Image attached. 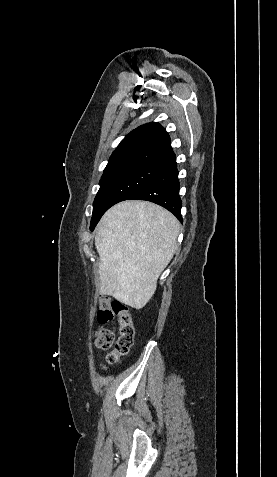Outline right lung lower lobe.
Here are the masks:
<instances>
[{"instance_id": "right-lung-lower-lobe-1", "label": "right lung lower lobe", "mask_w": 277, "mask_h": 477, "mask_svg": "<svg viewBox=\"0 0 277 477\" xmlns=\"http://www.w3.org/2000/svg\"><path fill=\"white\" fill-rule=\"evenodd\" d=\"M176 158L163 165L158 173L128 200H147L163 206L182 221Z\"/></svg>"}]
</instances>
